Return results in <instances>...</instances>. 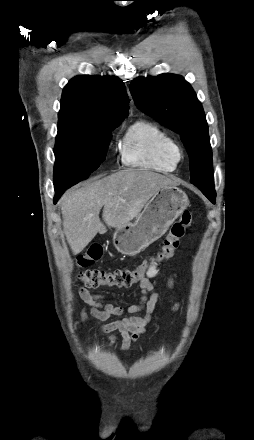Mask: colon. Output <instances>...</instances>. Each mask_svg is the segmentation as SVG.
<instances>
[{
	"instance_id": "colon-1",
	"label": "colon",
	"mask_w": 254,
	"mask_h": 440,
	"mask_svg": "<svg viewBox=\"0 0 254 440\" xmlns=\"http://www.w3.org/2000/svg\"><path fill=\"white\" fill-rule=\"evenodd\" d=\"M192 223V214L184 211L180 218L171 226L169 233L163 241L162 248L158 255V261H166L179 247L180 239L185 230ZM103 254L100 245H92L77 257V266L81 269L79 278L88 288L108 287H128L140 281L147 273L149 264L141 262L133 267L117 268L113 270L105 269H85L99 260Z\"/></svg>"
}]
</instances>
